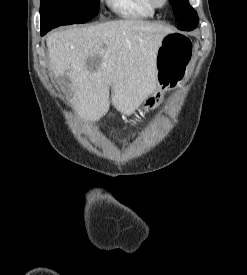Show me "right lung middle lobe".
<instances>
[{
  "label": "right lung middle lobe",
  "mask_w": 247,
  "mask_h": 275,
  "mask_svg": "<svg viewBox=\"0 0 247 275\" xmlns=\"http://www.w3.org/2000/svg\"><path fill=\"white\" fill-rule=\"evenodd\" d=\"M99 0H41V29L86 23L98 14Z\"/></svg>",
  "instance_id": "1"
}]
</instances>
